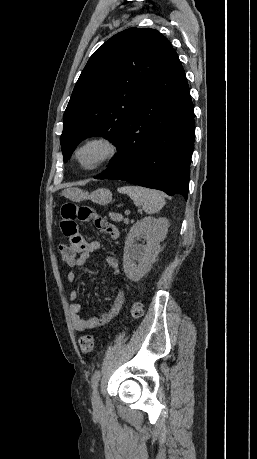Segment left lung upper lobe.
I'll list each match as a JSON object with an SVG mask.
<instances>
[{
    "mask_svg": "<svg viewBox=\"0 0 257 459\" xmlns=\"http://www.w3.org/2000/svg\"><path fill=\"white\" fill-rule=\"evenodd\" d=\"M173 50L157 30L133 27L111 37L90 57L64 113V162L87 137L102 136L118 145L140 94Z\"/></svg>",
    "mask_w": 257,
    "mask_h": 459,
    "instance_id": "5c2ea615",
    "label": "left lung upper lobe"
}]
</instances>
